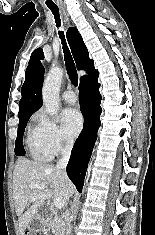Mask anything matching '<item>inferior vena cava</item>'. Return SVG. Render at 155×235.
Here are the masks:
<instances>
[{"label": "inferior vena cava", "instance_id": "602c4592", "mask_svg": "<svg viewBox=\"0 0 155 235\" xmlns=\"http://www.w3.org/2000/svg\"><path fill=\"white\" fill-rule=\"evenodd\" d=\"M73 140L69 139L66 142L65 147L62 150V158L57 162L56 169L62 170L66 168V165L69 161L71 149H72Z\"/></svg>", "mask_w": 155, "mask_h": 235}]
</instances>
